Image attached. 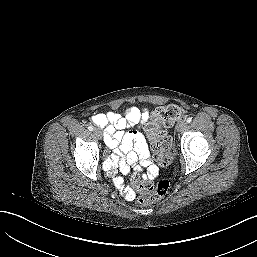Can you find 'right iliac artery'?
I'll return each mask as SVG.
<instances>
[{
    "instance_id": "1",
    "label": "right iliac artery",
    "mask_w": 257,
    "mask_h": 257,
    "mask_svg": "<svg viewBox=\"0 0 257 257\" xmlns=\"http://www.w3.org/2000/svg\"><path fill=\"white\" fill-rule=\"evenodd\" d=\"M88 130H89V131H93V126H91V125L88 126Z\"/></svg>"
}]
</instances>
